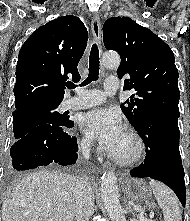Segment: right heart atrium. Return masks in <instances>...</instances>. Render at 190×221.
<instances>
[{
	"instance_id": "obj_1",
	"label": "right heart atrium",
	"mask_w": 190,
	"mask_h": 221,
	"mask_svg": "<svg viewBox=\"0 0 190 221\" xmlns=\"http://www.w3.org/2000/svg\"><path fill=\"white\" fill-rule=\"evenodd\" d=\"M80 147L84 151H89L93 147V141L88 136H83L80 141Z\"/></svg>"
}]
</instances>
